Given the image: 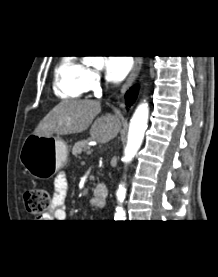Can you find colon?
<instances>
[{
  "label": "colon",
  "instance_id": "colon-1",
  "mask_svg": "<svg viewBox=\"0 0 218 277\" xmlns=\"http://www.w3.org/2000/svg\"><path fill=\"white\" fill-rule=\"evenodd\" d=\"M23 202L28 213L41 215L45 213L51 203L50 192L46 188L32 187L25 190Z\"/></svg>",
  "mask_w": 218,
  "mask_h": 277
}]
</instances>
